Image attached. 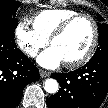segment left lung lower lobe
Returning <instances> with one entry per match:
<instances>
[{"mask_svg":"<svg viewBox=\"0 0 108 108\" xmlns=\"http://www.w3.org/2000/svg\"><path fill=\"white\" fill-rule=\"evenodd\" d=\"M52 77L60 89L48 98V108H99L108 92V57H94L82 68Z\"/></svg>","mask_w":108,"mask_h":108,"instance_id":"0a47b994","label":"left lung lower lobe"}]
</instances>
